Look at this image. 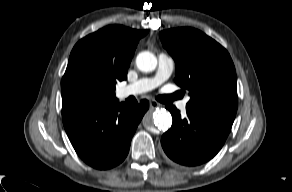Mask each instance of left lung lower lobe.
<instances>
[{
  "label": "left lung lower lobe",
  "mask_w": 292,
  "mask_h": 192,
  "mask_svg": "<svg viewBox=\"0 0 292 192\" xmlns=\"http://www.w3.org/2000/svg\"><path fill=\"white\" fill-rule=\"evenodd\" d=\"M166 109L173 117V124L162 136L161 144L171 160L184 166H196L212 159L234 122V118L188 110L184 118L175 106L167 105Z\"/></svg>",
  "instance_id": "obj_1"
}]
</instances>
